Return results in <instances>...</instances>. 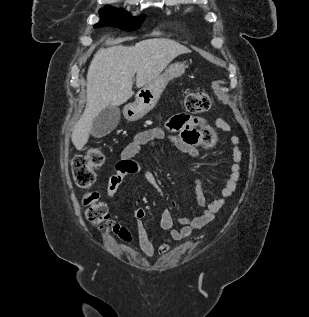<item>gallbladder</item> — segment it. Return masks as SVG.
Here are the masks:
<instances>
[{
    "mask_svg": "<svg viewBox=\"0 0 309 317\" xmlns=\"http://www.w3.org/2000/svg\"><path fill=\"white\" fill-rule=\"evenodd\" d=\"M120 121V109L117 106H108L94 119L91 134L101 138L115 129Z\"/></svg>",
    "mask_w": 309,
    "mask_h": 317,
    "instance_id": "obj_1",
    "label": "gallbladder"
}]
</instances>
